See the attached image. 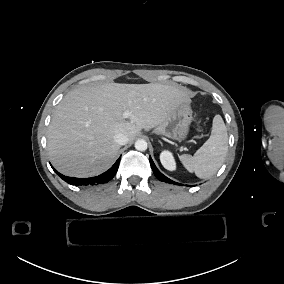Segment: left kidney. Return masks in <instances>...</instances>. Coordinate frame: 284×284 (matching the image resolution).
I'll return each instance as SVG.
<instances>
[{
  "label": "left kidney",
  "mask_w": 284,
  "mask_h": 284,
  "mask_svg": "<svg viewBox=\"0 0 284 284\" xmlns=\"http://www.w3.org/2000/svg\"><path fill=\"white\" fill-rule=\"evenodd\" d=\"M160 160L162 165L168 169V170H173L174 169V161L173 158L171 156V154L167 151H164L161 156H160Z\"/></svg>",
  "instance_id": "left-kidney-1"
}]
</instances>
